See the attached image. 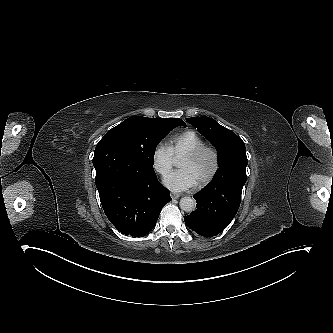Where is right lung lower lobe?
Returning <instances> with one entry per match:
<instances>
[{
  "instance_id": "1",
  "label": "right lung lower lobe",
  "mask_w": 333,
  "mask_h": 333,
  "mask_svg": "<svg viewBox=\"0 0 333 333\" xmlns=\"http://www.w3.org/2000/svg\"><path fill=\"white\" fill-rule=\"evenodd\" d=\"M93 165L96 187L109 221L125 235L137 237L151 231L163 206L172 200L154 169L143 166L113 140L97 144Z\"/></svg>"
}]
</instances>
